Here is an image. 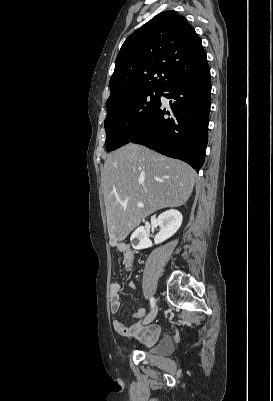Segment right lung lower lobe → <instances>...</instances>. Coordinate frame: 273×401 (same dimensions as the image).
Returning <instances> with one entry per match:
<instances>
[{"mask_svg": "<svg viewBox=\"0 0 273 401\" xmlns=\"http://www.w3.org/2000/svg\"><path fill=\"white\" fill-rule=\"evenodd\" d=\"M210 95L207 61L181 70L162 89V96L171 99V117H166L169 111L160 103L130 142L183 160L198 171L204 163L208 142Z\"/></svg>", "mask_w": 273, "mask_h": 401, "instance_id": "98d812e1", "label": "right lung lower lobe"}]
</instances>
